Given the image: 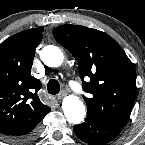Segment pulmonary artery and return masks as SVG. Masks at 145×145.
Listing matches in <instances>:
<instances>
[{
    "mask_svg": "<svg viewBox=\"0 0 145 145\" xmlns=\"http://www.w3.org/2000/svg\"><path fill=\"white\" fill-rule=\"evenodd\" d=\"M70 88L76 94H81L82 93L81 88L78 86V84H76L73 81L70 82Z\"/></svg>",
    "mask_w": 145,
    "mask_h": 145,
    "instance_id": "obj_1",
    "label": "pulmonary artery"
}]
</instances>
